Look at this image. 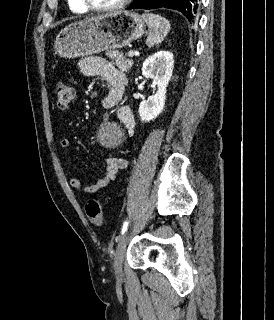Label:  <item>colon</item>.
<instances>
[{"label":"colon","mask_w":274,"mask_h":320,"mask_svg":"<svg viewBox=\"0 0 274 320\" xmlns=\"http://www.w3.org/2000/svg\"><path fill=\"white\" fill-rule=\"evenodd\" d=\"M54 97L56 106L59 109L69 107L74 97V89L66 82L59 81L54 86ZM85 211L90 221L96 225H100L104 220V211L102 204L94 199L88 200L85 204Z\"/></svg>","instance_id":"colon-1"}]
</instances>
